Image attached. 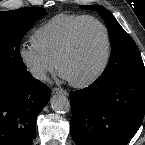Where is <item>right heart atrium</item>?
<instances>
[{
  "instance_id": "d8ad5b80",
  "label": "right heart atrium",
  "mask_w": 145,
  "mask_h": 145,
  "mask_svg": "<svg viewBox=\"0 0 145 145\" xmlns=\"http://www.w3.org/2000/svg\"><path fill=\"white\" fill-rule=\"evenodd\" d=\"M19 58L27 72L38 81H45L55 70L56 64L33 43L19 47Z\"/></svg>"
}]
</instances>
